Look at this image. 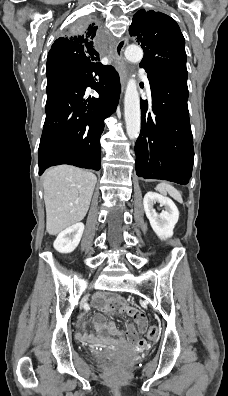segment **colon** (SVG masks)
Instances as JSON below:
<instances>
[{
	"label": "colon",
	"instance_id": "colon-1",
	"mask_svg": "<svg viewBox=\"0 0 228 396\" xmlns=\"http://www.w3.org/2000/svg\"><path fill=\"white\" fill-rule=\"evenodd\" d=\"M158 335H159V330H158V328L155 327V326L149 327V328L147 329V331H146V336H147V338L150 339V340L156 339V338L158 337Z\"/></svg>",
	"mask_w": 228,
	"mask_h": 396
}]
</instances>
